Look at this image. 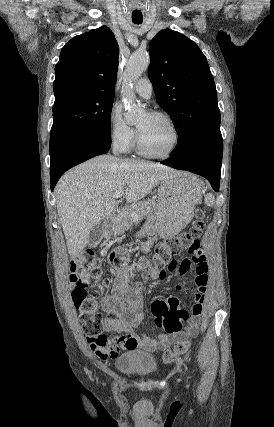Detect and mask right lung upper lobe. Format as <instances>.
<instances>
[{"label": "right lung upper lobe", "mask_w": 274, "mask_h": 427, "mask_svg": "<svg viewBox=\"0 0 274 427\" xmlns=\"http://www.w3.org/2000/svg\"><path fill=\"white\" fill-rule=\"evenodd\" d=\"M118 57V43L106 26L71 39L55 67V103L71 95H114Z\"/></svg>", "instance_id": "obj_1"}]
</instances>
